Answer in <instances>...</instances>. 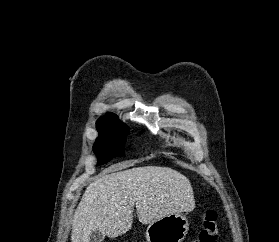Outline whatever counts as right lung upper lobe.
Masks as SVG:
<instances>
[{
	"mask_svg": "<svg viewBox=\"0 0 279 242\" xmlns=\"http://www.w3.org/2000/svg\"><path fill=\"white\" fill-rule=\"evenodd\" d=\"M100 124H114L117 126H125L119 122L118 117L113 113H109L106 116L98 119L97 125H100Z\"/></svg>",
	"mask_w": 279,
	"mask_h": 242,
	"instance_id": "right-lung-upper-lobe-1",
	"label": "right lung upper lobe"
}]
</instances>
